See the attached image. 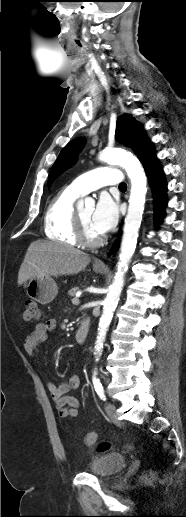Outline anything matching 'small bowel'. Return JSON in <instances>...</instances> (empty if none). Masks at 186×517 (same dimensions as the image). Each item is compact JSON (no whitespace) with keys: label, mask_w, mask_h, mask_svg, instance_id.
Listing matches in <instances>:
<instances>
[{"label":"small bowel","mask_w":186,"mask_h":517,"mask_svg":"<svg viewBox=\"0 0 186 517\" xmlns=\"http://www.w3.org/2000/svg\"><path fill=\"white\" fill-rule=\"evenodd\" d=\"M55 329L56 321L54 319H48L45 322L37 323L34 329L26 336L23 344V348L27 356L32 359L36 358L38 345L46 339L49 332H52ZM46 386L56 405V409L60 417H76L78 415L80 406L78 399L67 395L69 391L79 388L80 378L78 375H73L67 381L60 383L47 381ZM93 433L95 441L97 434L95 432Z\"/></svg>","instance_id":"c3829d8e"}]
</instances>
